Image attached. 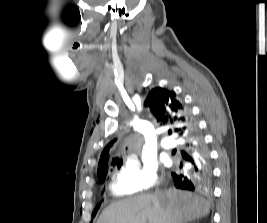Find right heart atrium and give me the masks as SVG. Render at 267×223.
I'll use <instances>...</instances> for the list:
<instances>
[{
  "label": "right heart atrium",
  "mask_w": 267,
  "mask_h": 223,
  "mask_svg": "<svg viewBox=\"0 0 267 223\" xmlns=\"http://www.w3.org/2000/svg\"><path fill=\"white\" fill-rule=\"evenodd\" d=\"M158 181L157 168L153 163L127 161L116 170L111 191L117 195L140 194L154 187Z\"/></svg>",
  "instance_id": "d8ad5b80"
}]
</instances>
